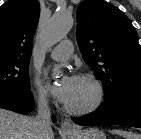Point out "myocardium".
<instances>
[{
  "label": "myocardium",
  "instance_id": "myocardium-1",
  "mask_svg": "<svg viewBox=\"0 0 141 139\" xmlns=\"http://www.w3.org/2000/svg\"><path fill=\"white\" fill-rule=\"evenodd\" d=\"M74 78L89 81L95 89V97L93 101L83 107H72L64 104L66 112L72 115H87L98 110L104 103L106 97L105 87L102 81L92 73H79Z\"/></svg>",
  "mask_w": 141,
  "mask_h": 139
}]
</instances>
